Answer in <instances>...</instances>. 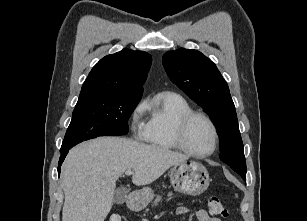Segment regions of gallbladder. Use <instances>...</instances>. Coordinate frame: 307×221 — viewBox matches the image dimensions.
<instances>
[{
	"mask_svg": "<svg viewBox=\"0 0 307 221\" xmlns=\"http://www.w3.org/2000/svg\"><path fill=\"white\" fill-rule=\"evenodd\" d=\"M127 197V190L124 187H120L114 191V202L116 204H123Z\"/></svg>",
	"mask_w": 307,
	"mask_h": 221,
	"instance_id": "obj_1",
	"label": "gallbladder"
}]
</instances>
